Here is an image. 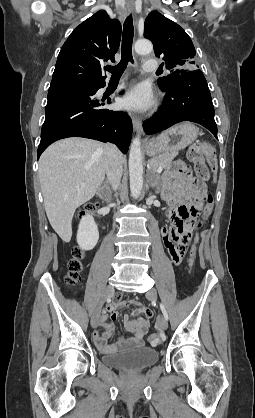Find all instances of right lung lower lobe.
Masks as SVG:
<instances>
[{
    "instance_id": "right-lung-lower-lobe-1",
    "label": "right lung lower lobe",
    "mask_w": 255,
    "mask_h": 418,
    "mask_svg": "<svg viewBox=\"0 0 255 418\" xmlns=\"http://www.w3.org/2000/svg\"><path fill=\"white\" fill-rule=\"evenodd\" d=\"M104 86L105 81L49 88L38 159L51 143L67 137L112 142L127 153L132 137L131 118L124 111L102 108L112 103L110 98L105 101L95 96Z\"/></svg>"
}]
</instances>
